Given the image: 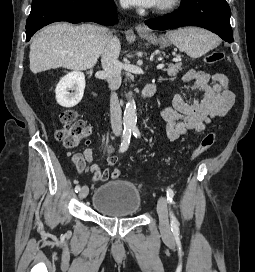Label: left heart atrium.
<instances>
[{
    "label": "left heart atrium",
    "instance_id": "obj_1",
    "mask_svg": "<svg viewBox=\"0 0 255 272\" xmlns=\"http://www.w3.org/2000/svg\"><path fill=\"white\" fill-rule=\"evenodd\" d=\"M128 3L139 6V7H145V8H151L157 5L159 0H125Z\"/></svg>",
    "mask_w": 255,
    "mask_h": 272
}]
</instances>
